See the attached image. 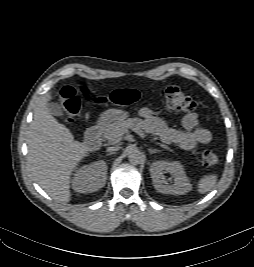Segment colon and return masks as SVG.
<instances>
[{
    "mask_svg": "<svg viewBox=\"0 0 254 267\" xmlns=\"http://www.w3.org/2000/svg\"><path fill=\"white\" fill-rule=\"evenodd\" d=\"M165 108L170 112L191 113L196 108V102L176 86H168L161 93ZM141 95L134 89H118L107 96L96 98L100 106H130L137 103ZM61 107L68 121H74L80 111V100L77 91L72 86H64L59 95ZM201 161L204 166L211 167L219 162L217 154L206 150L201 154Z\"/></svg>",
    "mask_w": 254,
    "mask_h": 267,
    "instance_id": "obj_1",
    "label": "colon"
}]
</instances>
